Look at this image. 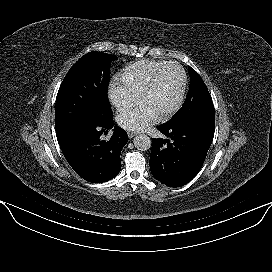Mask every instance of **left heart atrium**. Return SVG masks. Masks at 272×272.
Wrapping results in <instances>:
<instances>
[{
    "mask_svg": "<svg viewBox=\"0 0 272 272\" xmlns=\"http://www.w3.org/2000/svg\"><path fill=\"white\" fill-rule=\"evenodd\" d=\"M159 115L146 103L141 102L137 106L120 113L117 123L127 130L139 131L153 124Z\"/></svg>",
    "mask_w": 272,
    "mask_h": 272,
    "instance_id": "39dd6f15",
    "label": "left heart atrium"
}]
</instances>
